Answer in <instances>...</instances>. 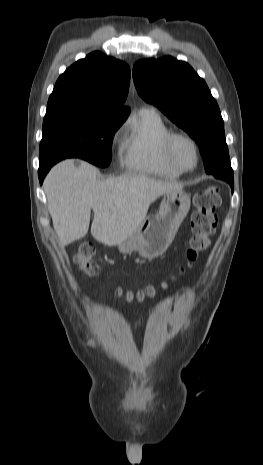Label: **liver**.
<instances>
[{
	"mask_svg": "<svg viewBox=\"0 0 263 465\" xmlns=\"http://www.w3.org/2000/svg\"><path fill=\"white\" fill-rule=\"evenodd\" d=\"M98 170L82 161L55 165L44 181L53 227L63 246L83 238L89 229L98 242L116 246L125 242L145 219L149 206L161 195L182 191L183 184L144 175H123L103 181Z\"/></svg>",
	"mask_w": 263,
	"mask_h": 465,
	"instance_id": "liver-1",
	"label": "liver"
}]
</instances>
